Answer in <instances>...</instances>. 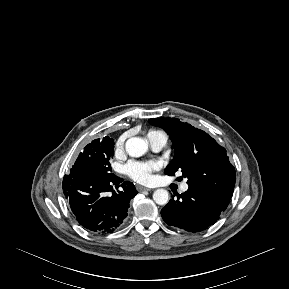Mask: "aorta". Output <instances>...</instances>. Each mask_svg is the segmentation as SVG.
<instances>
[{
  "label": "aorta",
  "mask_w": 289,
  "mask_h": 289,
  "mask_svg": "<svg viewBox=\"0 0 289 289\" xmlns=\"http://www.w3.org/2000/svg\"><path fill=\"white\" fill-rule=\"evenodd\" d=\"M126 152L131 157H140L148 150V144L141 138L133 137L125 143ZM153 200L158 205H166L169 201V193L165 189H157L153 193Z\"/></svg>",
  "instance_id": "aorta-1"
}]
</instances>
